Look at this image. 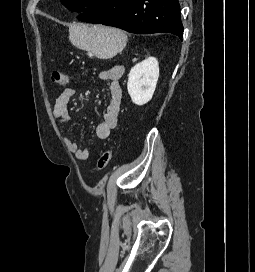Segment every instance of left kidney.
Segmentation results:
<instances>
[{
	"instance_id": "1",
	"label": "left kidney",
	"mask_w": 255,
	"mask_h": 272,
	"mask_svg": "<svg viewBox=\"0 0 255 272\" xmlns=\"http://www.w3.org/2000/svg\"><path fill=\"white\" fill-rule=\"evenodd\" d=\"M159 77L158 61L154 57H148L136 64L128 75L127 90L136 105H144L149 102L154 94Z\"/></svg>"
}]
</instances>
